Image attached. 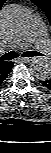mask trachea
Segmentation results:
<instances>
[{"label": "trachea", "instance_id": "trachea-1", "mask_svg": "<svg viewBox=\"0 0 51 153\" xmlns=\"http://www.w3.org/2000/svg\"><path fill=\"white\" fill-rule=\"evenodd\" d=\"M22 56L23 57H35V56H44V55L40 52H37V51H26V52H23ZM17 57H19V54L17 52L10 51V52L2 55L0 57V59L3 61H8V60L15 59Z\"/></svg>", "mask_w": 51, "mask_h": 153}]
</instances>
